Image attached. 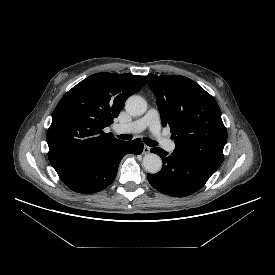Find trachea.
I'll list each match as a JSON object with an SVG mask.
<instances>
[{
	"label": "trachea",
	"mask_w": 275,
	"mask_h": 275,
	"mask_svg": "<svg viewBox=\"0 0 275 275\" xmlns=\"http://www.w3.org/2000/svg\"><path fill=\"white\" fill-rule=\"evenodd\" d=\"M117 137H118L119 139H122V140H131V139H132L131 135H128V134H120V135H118ZM143 141H144V143H145L146 145L151 146V147L157 145V143H156L154 140H152V139H150V138H148V137H144V138H143Z\"/></svg>",
	"instance_id": "obj_1"
}]
</instances>
